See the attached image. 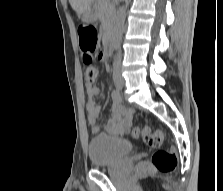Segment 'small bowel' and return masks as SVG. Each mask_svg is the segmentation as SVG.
I'll return each mask as SVG.
<instances>
[{"label":"small bowel","instance_id":"1","mask_svg":"<svg viewBox=\"0 0 223 191\" xmlns=\"http://www.w3.org/2000/svg\"><path fill=\"white\" fill-rule=\"evenodd\" d=\"M99 60L106 62L107 57L100 52ZM88 101L86 104L88 124L93 135L101 134L98 121L102 108L95 102L94 97L101 93V89L91 83L87 84ZM113 99V98H112ZM134 110L121 104V100L113 99L112 115L107 119L104 132L108 135L123 136L132 126Z\"/></svg>","mask_w":223,"mask_h":191}]
</instances>
